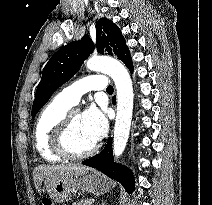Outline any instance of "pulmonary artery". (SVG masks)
Here are the masks:
<instances>
[{
  "instance_id": "e3ab8cb5",
  "label": "pulmonary artery",
  "mask_w": 212,
  "mask_h": 205,
  "mask_svg": "<svg viewBox=\"0 0 212 205\" xmlns=\"http://www.w3.org/2000/svg\"><path fill=\"white\" fill-rule=\"evenodd\" d=\"M107 88V79L105 75L94 74L84 77L70 86L62 89L57 97L72 106L76 104L81 96L92 90H105Z\"/></svg>"
}]
</instances>
